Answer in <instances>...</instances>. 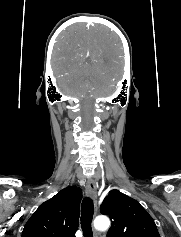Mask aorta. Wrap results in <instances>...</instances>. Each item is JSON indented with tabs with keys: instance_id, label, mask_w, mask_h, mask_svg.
<instances>
[{
	"instance_id": "aorta-1",
	"label": "aorta",
	"mask_w": 181,
	"mask_h": 237,
	"mask_svg": "<svg viewBox=\"0 0 181 237\" xmlns=\"http://www.w3.org/2000/svg\"><path fill=\"white\" fill-rule=\"evenodd\" d=\"M110 226V220L106 216H98L94 220V227L96 230L105 231Z\"/></svg>"
}]
</instances>
